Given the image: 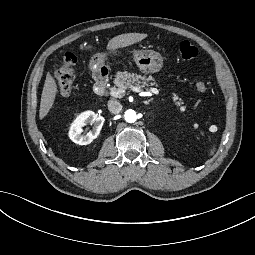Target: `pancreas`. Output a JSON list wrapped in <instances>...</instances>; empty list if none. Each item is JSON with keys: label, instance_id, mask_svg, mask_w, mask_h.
Masks as SVG:
<instances>
[{"label": "pancreas", "instance_id": "cf45deb5", "mask_svg": "<svg viewBox=\"0 0 255 255\" xmlns=\"http://www.w3.org/2000/svg\"><path fill=\"white\" fill-rule=\"evenodd\" d=\"M114 84L121 89H131V86H137L140 88L148 86H157L155 79L152 76L146 77L134 73H129L127 71H118L115 75ZM114 89H116L114 87ZM173 101L177 106H180V111L184 112L186 110L185 106H182L183 101L174 93Z\"/></svg>", "mask_w": 255, "mask_h": 255}]
</instances>
